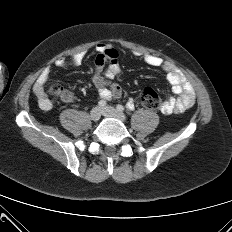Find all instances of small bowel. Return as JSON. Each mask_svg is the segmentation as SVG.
<instances>
[{
    "label": "small bowel",
    "instance_id": "obj_1",
    "mask_svg": "<svg viewBox=\"0 0 232 232\" xmlns=\"http://www.w3.org/2000/svg\"><path fill=\"white\" fill-rule=\"evenodd\" d=\"M95 50L97 55L94 60L91 81L98 89L102 99H118L122 96V88L113 82L121 72L118 52L106 43H98ZM135 56L141 58L147 66L163 71L171 85L174 95L163 102L160 109L163 114L182 113L195 103V92L191 82L174 64L154 54L136 52ZM84 59L85 52L81 51L67 60L58 59L55 66L60 69H69L80 66ZM48 79L49 70H45L33 86L37 103L45 111H49L53 107L52 100L45 92V84ZM60 98L65 103H71L74 101L75 95L72 91L64 90ZM132 103V100L128 101V104Z\"/></svg>",
    "mask_w": 232,
    "mask_h": 232
}]
</instances>
